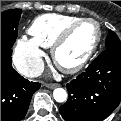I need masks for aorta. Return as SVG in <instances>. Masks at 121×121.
<instances>
[{
	"mask_svg": "<svg viewBox=\"0 0 121 121\" xmlns=\"http://www.w3.org/2000/svg\"><path fill=\"white\" fill-rule=\"evenodd\" d=\"M53 97L57 102H64L67 99V93L63 88H56L53 92Z\"/></svg>",
	"mask_w": 121,
	"mask_h": 121,
	"instance_id": "1",
	"label": "aorta"
}]
</instances>
